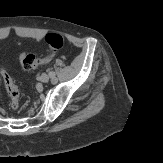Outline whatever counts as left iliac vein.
<instances>
[{
	"label": "left iliac vein",
	"instance_id": "left-iliac-vein-1",
	"mask_svg": "<svg viewBox=\"0 0 163 163\" xmlns=\"http://www.w3.org/2000/svg\"><path fill=\"white\" fill-rule=\"evenodd\" d=\"M39 80L43 83H47L49 81V75L46 73H42L39 77Z\"/></svg>",
	"mask_w": 163,
	"mask_h": 163
}]
</instances>
